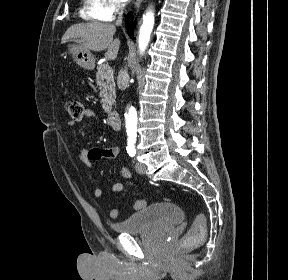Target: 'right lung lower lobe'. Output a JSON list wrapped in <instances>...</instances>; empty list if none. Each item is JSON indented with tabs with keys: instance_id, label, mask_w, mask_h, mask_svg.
<instances>
[{
	"instance_id": "98d812e1",
	"label": "right lung lower lobe",
	"mask_w": 288,
	"mask_h": 280,
	"mask_svg": "<svg viewBox=\"0 0 288 280\" xmlns=\"http://www.w3.org/2000/svg\"><path fill=\"white\" fill-rule=\"evenodd\" d=\"M125 25H126V28H127V32L128 34L130 35L131 38H134L133 37V34H132V28H133V15L131 12L128 13V15L126 16V19H125Z\"/></svg>"
}]
</instances>
